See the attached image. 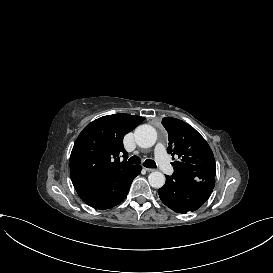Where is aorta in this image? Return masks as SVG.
Here are the masks:
<instances>
[{
    "label": "aorta",
    "instance_id": "762f6f07",
    "mask_svg": "<svg viewBox=\"0 0 273 273\" xmlns=\"http://www.w3.org/2000/svg\"><path fill=\"white\" fill-rule=\"evenodd\" d=\"M134 137L138 146L149 148L156 143L157 132L151 125L143 124L136 128ZM148 181L153 188H161L165 184V176L159 171H154L149 174Z\"/></svg>",
    "mask_w": 273,
    "mask_h": 273
}]
</instances>
